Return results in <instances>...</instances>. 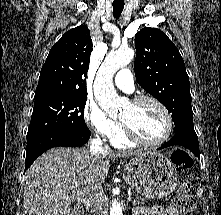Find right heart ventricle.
Listing matches in <instances>:
<instances>
[{
  "instance_id": "right-heart-ventricle-1",
  "label": "right heart ventricle",
  "mask_w": 221,
  "mask_h": 215,
  "mask_svg": "<svg viewBox=\"0 0 221 215\" xmlns=\"http://www.w3.org/2000/svg\"><path fill=\"white\" fill-rule=\"evenodd\" d=\"M112 144L117 148H129L132 146V142L128 140L125 136L122 127H120L119 132L111 138Z\"/></svg>"
}]
</instances>
